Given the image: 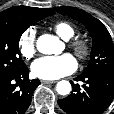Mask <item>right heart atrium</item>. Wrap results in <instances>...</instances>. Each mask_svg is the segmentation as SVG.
Masks as SVG:
<instances>
[{"label": "right heart atrium", "instance_id": "obj_1", "mask_svg": "<svg viewBox=\"0 0 114 114\" xmlns=\"http://www.w3.org/2000/svg\"><path fill=\"white\" fill-rule=\"evenodd\" d=\"M18 48L25 59H30L34 56L36 52V30L34 28H28L20 35Z\"/></svg>", "mask_w": 114, "mask_h": 114}]
</instances>
